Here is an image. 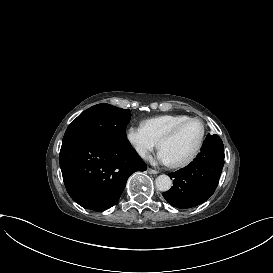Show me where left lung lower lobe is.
<instances>
[{
	"label": "left lung lower lobe",
	"instance_id": "1",
	"mask_svg": "<svg viewBox=\"0 0 273 273\" xmlns=\"http://www.w3.org/2000/svg\"><path fill=\"white\" fill-rule=\"evenodd\" d=\"M224 166L221 138L208 134L201 153L188 166L169 174L173 186L163 193L166 201L177 208H191L205 202L216 190Z\"/></svg>",
	"mask_w": 273,
	"mask_h": 273
}]
</instances>
